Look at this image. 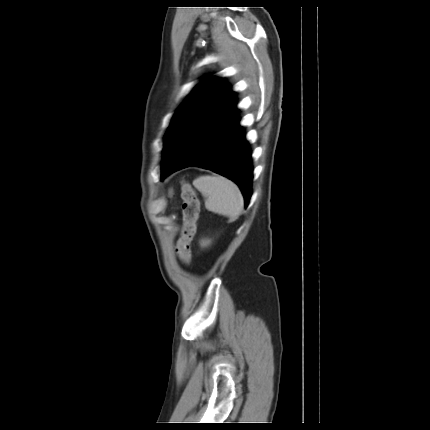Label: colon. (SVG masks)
Instances as JSON below:
<instances>
[{
    "label": "colon",
    "instance_id": "obj_1",
    "mask_svg": "<svg viewBox=\"0 0 430 430\" xmlns=\"http://www.w3.org/2000/svg\"><path fill=\"white\" fill-rule=\"evenodd\" d=\"M183 225L177 244V253L185 266L192 261V241L200 212V203L194 188L187 182L181 184Z\"/></svg>",
    "mask_w": 430,
    "mask_h": 430
}]
</instances>
